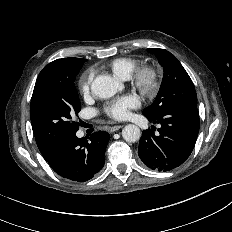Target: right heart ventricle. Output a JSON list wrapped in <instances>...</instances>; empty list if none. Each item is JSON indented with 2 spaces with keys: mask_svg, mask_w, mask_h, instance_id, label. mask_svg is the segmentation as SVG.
<instances>
[{
  "mask_svg": "<svg viewBox=\"0 0 232 232\" xmlns=\"http://www.w3.org/2000/svg\"><path fill=\"white\" fill-rule=\"evenodd\" d=\"M139 61L132 57H119L112 60L108 67L113 75L119 79H128L135 71Z\"/></svg>",
  "mask_w": 232,
  "mask_h": 232,
  "instance_id": "1",
  "label": "right heart ventricle"
}]
</instances>
